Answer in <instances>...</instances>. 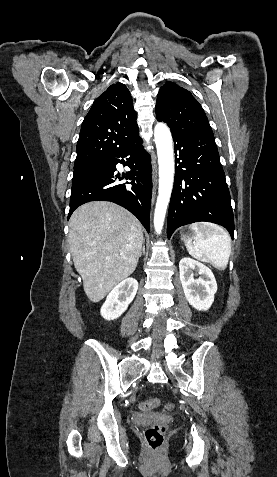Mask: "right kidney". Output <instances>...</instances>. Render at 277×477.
Returning a JSON list of instances; mask_svg holds the SVG:
<instances>
[{
  "mask_svg": "<svg viewBox=\"0 0 277 477\" xmlns=\"http://www.w3.org/2000/svg\"><path fill=\"white\" fill-rule=\"evenodd\" d=\"M138 290V282L134 278H127L120 282L108 294L105 303L101 307V315L106 320H114L120 317L133 301Z\"/></svg>",
  "mask_w": 277,
  "mask_h": 477,
  "instance_id": "obj_1",
  "label": "right kidney"
}]
</instances>
